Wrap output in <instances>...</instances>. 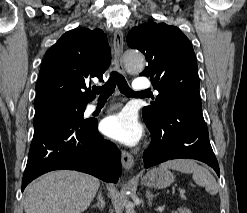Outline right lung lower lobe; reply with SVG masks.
Wrapping results in <instances>:
<instances>
[{"instance_id": "right-lung-lower-lobe-1", "label": "right lung lower lobe", "mask_w": 247, "mask_h": 213, "mask_svg": "<svg viewBox=\"0 0 247 213\" xmlns=\"http://www.w3.org/2000/svg\"><path fill=\"white\" fill-rule=\"evenodd\" d=\"M34 136L22 179V191L38 176L56 169L89 173L116 183L122 173L121 153L97 130V121L79 123L42 117L34 122Z\"/></svg>"}]
</instances>
